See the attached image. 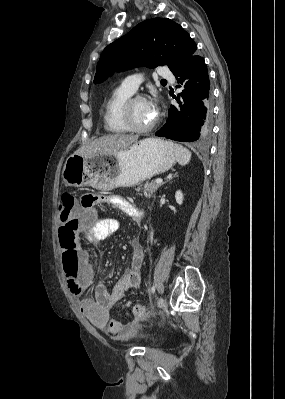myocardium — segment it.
Listing matches in <instances>:
<instances>
[{"mask_svg": "<svg viewBox=\"0 0 285 399\" xmlns=\"http://www.w3.org/2000/svg\"><path fill=\"white\" fill-rule=\"evenodd\" d=\"M137 100H146L142 95H131L123 104L122 107V120L126 128L135 133H144L155 127L157 118L152 123L144 127H138L134 124L132 118V106Z\"/></svg>", "mask_w": 285, "mask_h": 399, "instance_id": "f54148a6", "label": "myocardium"}]
</instances>
